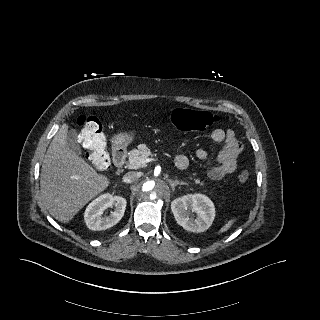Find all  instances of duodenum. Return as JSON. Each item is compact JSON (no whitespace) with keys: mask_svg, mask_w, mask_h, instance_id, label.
Here are the masks:
<instances>
[{"mask_svg":"<svg viewBox=\"0 0 320 320\" xmlns=\"http://www.w3.org/2000/svg\"><path fill=\"white\" fill-rule=\"evenodd\" d=\"M126 149L123 145H116L113 150V162L116 167L122 168L126 160Z\"/></svg>","mask_w":320,"mask_h":320,"instance_id":"1","label":"duodenum"}]
</instances>
